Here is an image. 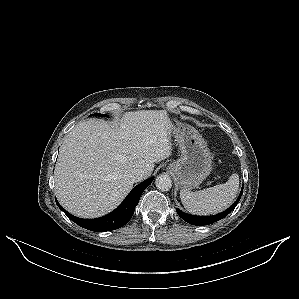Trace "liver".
I'll list each match as a JSON object with an SVG mask.
<instances>
[{
	"label": "liver",
	"mask_w": 299,
	"mask_h": 299,
	"mask_svg": "<svg viewBox=\"0 0 299 299\" xmlns=\"http://www.w3.org/2000/svg\"><path fill=\"white\" fill-rule=\"evenodd\" d=\"M171 121L163 110L126 112L112 126L89 119L64 138L55 168V194L60 204L81 218H97L114 210L131 191L130 173L172 154Z\"/></svg>",
	"instance_id": "1"
}]
</instances>
